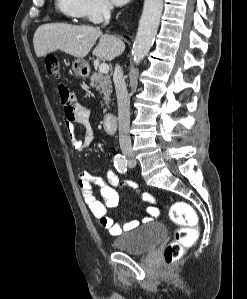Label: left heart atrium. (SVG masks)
<instances>
[{"label": "left heart atrium", "mask_w": 247, "mask_h": 299, "mask_svg": "<svg viewBox=\"0 0 247 299\" xmlns=\"http://www.w3.org/2000/svg\"><path fill=\"white\" fill-rule=\"evenodd\" d=\"M129 1L130 0H111V2L113 4L118 5V6L124 5V4L128 3Z\"/></svg>", "instance_id": "obj_1"}]
</instances>
